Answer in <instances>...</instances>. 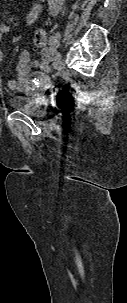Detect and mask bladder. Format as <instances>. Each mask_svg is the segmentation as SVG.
Masks as SVG:
<instances>
[{"label":"bladder","instance_id":"1","mask_svg":"<svg viewBox=\"0 0 127 303\" xmlns=\"http://www.w3.org/2000/svg\"><path fill=\"white\" fill-rule=\"evenodd\" d=\"M8 101L13 109L24 112L30 116L43 117L45 114V101L32 93L13 95Z\"/></svg>","mask_w":127,"mask_h":303}]
</instances>
